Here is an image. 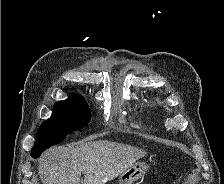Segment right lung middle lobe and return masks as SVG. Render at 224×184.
Here are the masks:
<instances>
[{"instance_id": "dd1d6c3e", "label": "right lung middle lobe", "mask_w": 224, "mask_h": 184, "mask_svg": "<svg viewBox=\"0 0 224 184\" xmlns=\"http://www.w3.org/2000/svg\"><path fill=\"white\" fill-rule=\"evenodd\" d=\"M91 119L85 100L80 102H57L52 116L42 122L31 153L39 156L45 149L63 141L68 133L82 129Z\"/></svg>"}]
</instances>
